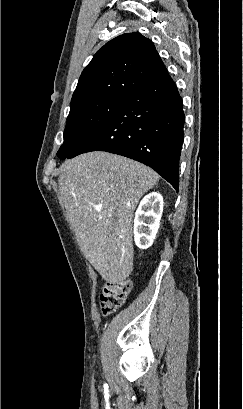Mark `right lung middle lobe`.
Masks as SVG:
<instances>
[{"label": "right lung middle lobe", "mask_w": 243, "mask_h": 409, "mask_svg": "<svg viewBox=\"0 0 243 409\" xmlns=\"http://www.w3.org/2000/svg\"><path fill=\"white\" fill-rule=\"evenodd\" d=\"M125 98H101L73 104L64 131V143L57 152L61 159L102 128Z\"/></svg>", "instance_id": "1"}]
</instances>
